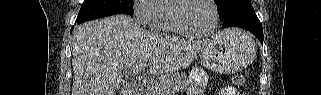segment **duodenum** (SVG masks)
Wrapping results in <instances>:
<instances>
[{"instance_id": "410a0bca", "label": "duodenum", "mask_w": 321, "mask_h": 95, "mask_svg": "<svg viewBox=\"0 0 321 95\" xmlns=\"http://www.w3.org/2000/svg\"><path fill=\"white\" fill-rule=\"evenodd\" d=\"M124 95H130V93H123Z\"/></svg>"}]
</instances>
